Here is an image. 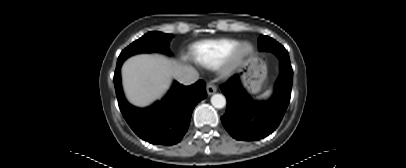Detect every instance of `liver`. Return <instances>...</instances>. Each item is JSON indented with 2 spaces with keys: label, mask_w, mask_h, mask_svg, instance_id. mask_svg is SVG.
Returning <instances> with one entry per match:
<instances>
[{
  "label": "liver",
  "mask_w": 406,
  "mask_h": 168,
  "mask_svg": "<svg viewBox=\"0 0 406 168\" xmlns=\"http://www.w3.org/2000/svg\"><path fill=\"white\" fill-rule=\"evenodd\" d=\"M188 66L159 54H141L122 66V81L127 99L146 107L166 93L171 79Z\"/></svg>",
  "instance_id": "obj_1"
}]
</instances>
